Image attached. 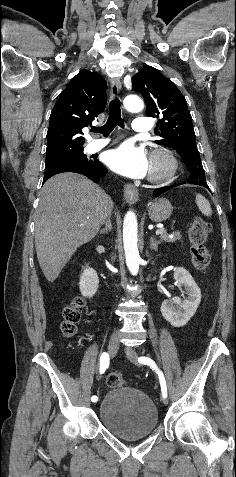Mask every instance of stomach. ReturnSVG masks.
Instances as JSON below:
<instances>
[{"label":"stomach","instance_id":"0dacf381","mask_svg":"<svg viewBox=\"0 0 236 477\" xmlns=\"http://www.w3.org/2000/svg\"><path fill=\"white\" fill-rule=\"evenodd\" d=\"M173 207L169 200L159 198L149 206V217L153 222H163L172 214Z\"/></svg>","mask_w":236,"mask_h":477}]
</instances>
